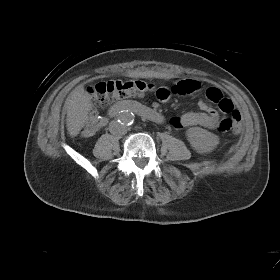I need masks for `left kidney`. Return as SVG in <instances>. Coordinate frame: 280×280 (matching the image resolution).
<instances>
[{"label": "left kidney", "instance_id": "left-kidney-1", "mask_svg": "<svg viewBox=\"0 0 280 280\" xmlns=\"http://www.w3.org/2000/svg\"><path fill=\"white\" fill-rule=\"evenodd\" d=\"M186 134L191 146L199 153L211 152L219 144L218 136L200 127L190 128Z\"/></svg>", "mask_w": 280, "mask_h": 280}]
</instances>
